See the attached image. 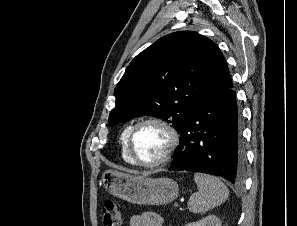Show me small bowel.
Segmentation results:
<instances>
[{
	"label": "small bowel",
	"instance_id": "small-bowel-1",
	"mask_svg": "<svg viewBox=\"0 0 297 226\" xmlns=\"http://www.w3.org/2000/svg\"><path fill=\"white\" fill-rule=\"evenodd\" d=\"M129 226H164L163 219L156 213L146 212L130 218Z\"/></svg>",
	"mask_w": 297,
	"mask_h": 226
}]
</instances>
